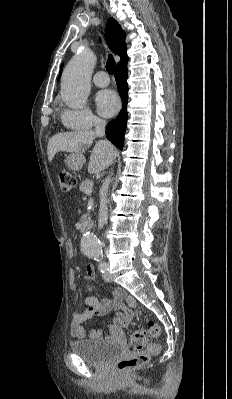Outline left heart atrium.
I'll return each mask as SVG.
<instances>
[{"label": "left heart atrium", "instance_id": "obj_1", "mask_svg": "<svg viewBox=\"0 0 232 399\" xmlns=\"http://www.w3.org/2000/svg\"><path fill=\"white\" fill-rule=\"evenodd\" d=\"M99 113L104 117H113L117 114L120 104L112 91H102L96 97Z\"/></svg>", "mask_w": 232, "mask_h": 399}]
</instances>
